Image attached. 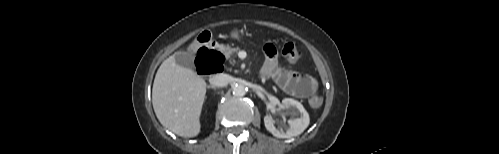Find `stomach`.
I'll list each match as a JSON object with an SVG mask.
<instances>
[{
    "mask_svg": "<svg viewBox=\"0 0 499 154\" xmlns=\"http://www.w3.org/2000/svg\"><path fill=\"white\" fill-rule=\"evenodd\" d=\"M240 32L237 30V29H233L230 33H229V37L231 39H234V40H238L240 38Z\"/></svg>",
    "mask_w": 499,
    "mask_h": 154,
    "instance_id": "1",
    "label": "stomach"
}]
</instances>
